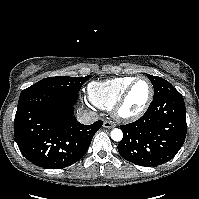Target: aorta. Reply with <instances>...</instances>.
<instances>
[{
  "label": "aorta",
  "mask_w": 199,
  "mask_h": 199,
  "mask_svg": "<svg viewBox=\"0 0 199 199\" xmlns=\"http://www.w3.org/2000/svg\"><path fill=\"white\" fill-rule=\"evenodd\" d=\"M111 135V139L114 140V141H121L122 138H123V132L120 130V129H113L110 133Z\"/></svg>",
  "instance_id": "obj_1"
}]
</instances>
